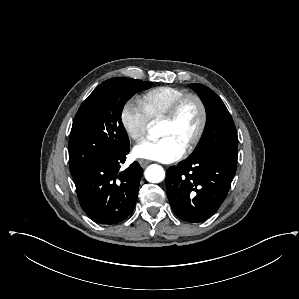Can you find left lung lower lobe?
I'll list each match as a JSON object with an SVG mask.
<instances>
[{"label": "left lung lower lobe", "mask_w": 299, "mask_h": 299, "mask_svg": "<svg viewBox=\"0 0 299 299\" xmlns=\"http://www.w3.org/2000/svg\"><path fill=\"white\" fill-rule=\"evenodd\" d=\"M236 167V160L218 154L170 167L166 187L175 214L189 222H201L213 215L228 194Z\"/></svg>", "instance_id": "1"}]
</instances>
